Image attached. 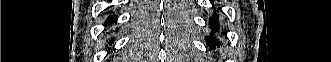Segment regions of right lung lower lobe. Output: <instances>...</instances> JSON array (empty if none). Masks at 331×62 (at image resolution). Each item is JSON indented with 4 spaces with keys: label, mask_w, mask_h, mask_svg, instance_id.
Returning a JSON list of instances; mask_svg holds the SVG:
<instances>
[{
    "label": "right lung lower lobe",
    "mask_w": 331,
    "mask_h": 62,
    "mask_svg": "<svg viewBox=\"0 0 331 62\" xmlns=\"http://www.w3.org/2000/svg\"><path fill=\"white\" fill-rule=\"evenodd\" d=\"M116 19H117V16L116 15L109 16L107 18V20H106V24H112V23H114L116 21ZM110 44H111V42H110Z\"/></svg>",
    "instance_id": "obj_1"
}]
</instances>
